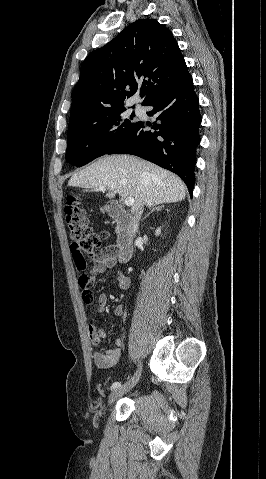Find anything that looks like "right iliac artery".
<instances>
[{
	"label": "right iliac artery",
	"mask_w": 266,
	"mask_h": 479,
	"mask_svg": "<svg viewBox=\"0 0 266 479\" xmlns=\"http://www.w3.org/2000/svg\"><path fill=\"white\" fill-rule=\"evenodd\" d=\"M120 386H121V383H120V382H114V383L112 384L111 388H112V389H116V388H118V387H120Z\"/></svg>",
	"instance_id": "82829eb1"
}]
</instances>
